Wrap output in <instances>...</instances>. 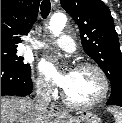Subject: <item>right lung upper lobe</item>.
<instances>
[{
  "label": "right lung upper lobe",
  "instance_id": "obj_1",
  "mask_svg": "<svg viewBox=\"0 0 122 123\" xmlns=\"http://www.w3.org/2000/svg\"><path fill=\"white\" fill-rule=\"evenodd\" d=\"M40 0H1V49H16L38 15Z\"/></svg>",
  "mask_w": 122,
  "mask_h": 123
}]
</instances>
